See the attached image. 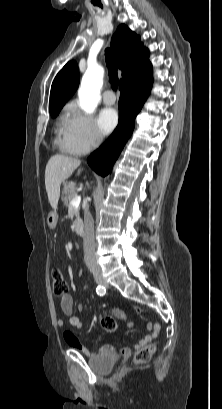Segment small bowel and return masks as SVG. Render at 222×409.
Wrapping results in <instances>:
<instances>
[{
	"label": "small bowel",
	"instance_id": "obj_1",
	"mask_svg": "<svg viewBox=\"0 0 222 409\" xmlns=\"http://www.w3.org/2000/svg\"><path fill=\"white\" fill-rule=\"evenodd\" d=\"M60 307L64 315L68 317L69 324L76 329H80L82 327V322L77 316L73 315V298L70 294L67 293L62 296L61 301H60ZM78 309L79 311H82L83 307L79 305ZM117 314L122 315L120 311H118ZM109 318L115 323V320L113 317H109ZM56 323H57V326L61 329L65 327V322L61 318L57 319ZM149 327L151 328V333L145 335L141 340H139V342L135 345V349H140L144 347L146 344L152 342L157 337L159 333V329H160L159 324L153 323V324H150ZM63 337H64L65 342L71 348L79 350L83 354L88 355V356H96L98 352H108L113 349L112 346L105 345V346H102L99 350H90L84 347L80 343L78 338L69 331H65L63 333ZM120 352L121 354L127 356V355H130L131 349L129 347H122L120 349Z\"/></svg>",
	"mask_w": 222,
	"mask_h": 409
}]
</instances>
